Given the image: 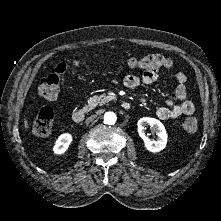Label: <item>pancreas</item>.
<instances>
[{"mask_svg":"<svg viewBox=\"0 0 221 221\" xmlns=\"http://www.w3.org/2000/svg\"><path fill=\"white\" fill-rule=\"evenodd\" d=\"M113 96L101 94V95H95L93 97H90L87 101V107L89 110L94 109L96 106L108 103L109 101L113 100Z\"/></svg>","mask_w":221,"mask_h":221,"instance_id":"cf45deb5","label":"pancreas"}]
</instances>
